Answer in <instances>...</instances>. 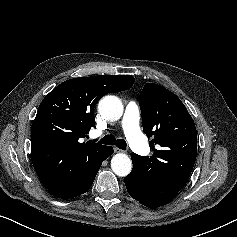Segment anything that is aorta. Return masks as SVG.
<instances>
[{"mask_svg":"<svg viewBox=\"0 0 237 237\" xmlns=\"http://www.w3.org/2000/svg\"><path fill=\"white\" fill-rule=\"evenodd\" d=\"M98 111L106 120L116 121L122 116L123 105L118 97L108 95L99 101ZM111 168L117 176L125 177L131 172L132 162L128 155L119 153L113 156Z\"/></svg>","mask_w":237,"mask_h":237,"instance_id":"aorta-1","label":"aorta"}]
</instances>
